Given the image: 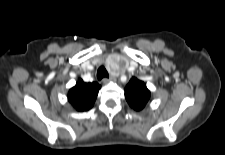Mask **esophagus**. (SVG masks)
Returning <instances> with one entry per match:
<instances>
[{
    "label": "esophagus",
    "instance_id": "1",
    "mask_svg": "<svg viewBox=\"0 0 225 155\" xmlns=\"http://www.w3.org/2000/svg\"><path fill=\"white\" fill-rule=\"evenodd\" d=\"M112 80H114V77L110 76L109 78H104V79L102 80V82H103L104 84H107L108 82H110V81H112Z\"/></svg>",
    "mask_w": 225,
    "mask_h": 155
}]
</instances>
